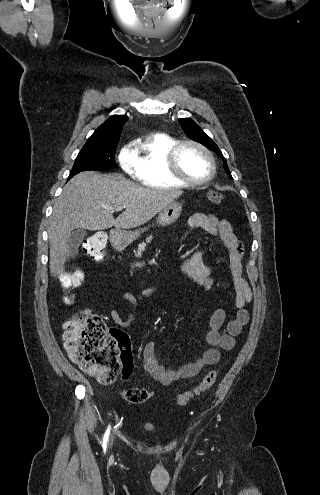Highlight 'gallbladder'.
Instances as JSON below:
<instances>
[{
    "label": "gallbladder",
    "instance_id": "bac80fb5",
    "mask_svg": "<svg viewBox=\"0 0 320 495\" xmlns=\"http://www.w3.org/2000/svg\"><path fill=\"white\" fill-rule=\"evenodd\" d=\"M86 236V231L84 229H74L68 240H67V246L69 248V254L70 256H75L78 252V247L83 241L84 237Z\"/></svg>",
    "mask_w": 320,
    "mask_h": 495
}]
</instances>
